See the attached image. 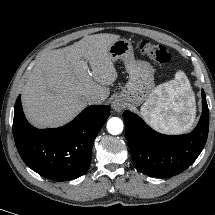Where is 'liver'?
<instances>
[{
  "label": "liver",
  "mask_w": 215,
  "mask_h": 215,
  "mask_svg": "<svg viewBox=\"0 0 215 215\" xmlns=\"http://www.w3.org/2000/svg\"><path fill=\"white\" fill-rule=\"evenodd\" d=\"M119 38L106 33L89 35L42 54L23 88L22 104L28 120L40 128L58 127L82 111L90 95L105 100L110 94L106 86L118 77L109 47ZM82 58L91 72L83 68Z\"/></svg>",
  "instance_id": "obj_1"
}]
</instances>
